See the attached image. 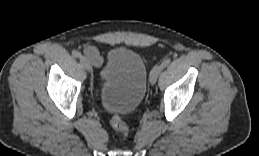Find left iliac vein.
Listing matches in <instances>:
<instances>
[{
	"instance_id": "left-iliac-vein-1",
	"label": "left iliac vein",
	"mask_w": 259,
	"mask_h": 156,
	"mask_svg": "<svg viewBox=\"0 0 259 156\" xmlns=\"http://www.w3.org/2000/svg\"><path fill=\"white\" fill-rule=\"evenodd\" d=\"M162 70H163V69H162V66H161V65L156 66V67L152 70V72H151V74H150V79H149L151 85H154V84L156 83V81H157V79H158L160 73L162 72Z\"/></svg>"
}]
</instances>
